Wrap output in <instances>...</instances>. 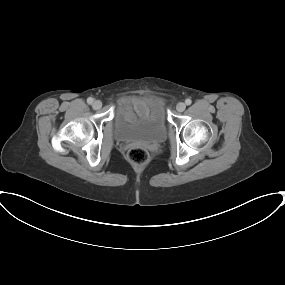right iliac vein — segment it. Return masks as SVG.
<instances>
[{
    "label": "right iliac vein",
    "instance_id": "63e3f726",
    "mask_svg": "<svg viewBox=\"0 0 285 285\" xmlns=\"http://www.w3.org/2000/svg\"><path fill=\"white\" fill-rule=\"evenodd\" d=\"M93 109L98 110L102 107V102L100 100H95L92 104Z\"/></svg>",
    "mask_w": 285,
    "mask_h": 285
}]
</instances>
